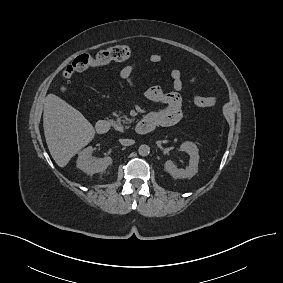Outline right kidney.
<instances>
[{
  "label": "right kidney",
  "mask_w": 283,
  "mask_h": 283,
  "mask_svg": "<svg viewBox=\"0 0 283 283\" xmlns=\"http://www.w3.org/2000/svg\"><path fill=\"white\" fill-rule=\"evenodd\" d=\"M93 151V148L91 146L83 149L78 156L77 159V167L87 173L88 175H93L95 173H100L105 171L109 165L112 164V158L111 157H104L95 160L93 162L90 160V155Z\"/></svg>",
  "instance_id": "obj_1"
}]
</instances>
